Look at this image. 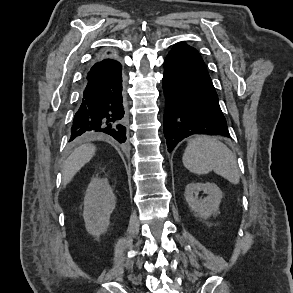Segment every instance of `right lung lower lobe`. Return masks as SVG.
<instances>
[{
	"instance_id": "right-lung-lower-lobe-1",
	"label": "right lung lower lobe",
	"mask_w": 293,
	"mask_h": 293,
	"mask_svg": "<svg viewBox=\"0 0 293 293\" xmlns=\"http://www.w3.org/2000/svg\"><path fill=\"white\" fill-rule=\"evenodd\" d=\"M122 65L115 59H97L89 68L70 141L77 137L110 136L126 141L125 107L122 97Z\"/></svg>"
}]
</instances>
